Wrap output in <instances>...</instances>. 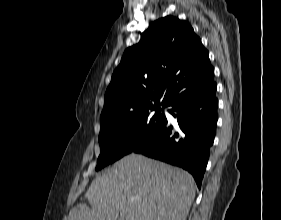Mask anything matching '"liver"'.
<instances>
[{"label":"liver","instance_id":"1","mask_svg":"<svg viewBox=\"0 0 281 220\" xmlns=\"http://www.w3.org/2000/svg\"><path fill=\"white\" fill-rule=\"evenodd\" d=\"M68 220H186L195 182L186 171L130 154L97 176Z\"/></svg>","mask_w":281,"mask_h":220}]
</instances>
